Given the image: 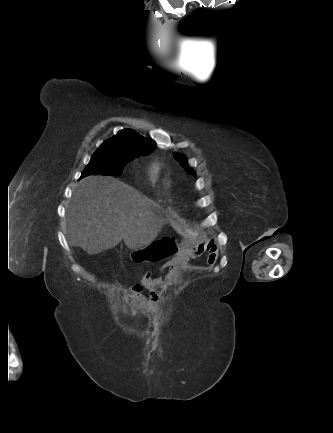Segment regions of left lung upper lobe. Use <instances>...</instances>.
Instances as JSON below:
<instances>
[{
	"label": "left lung upper lobe",
	"instance_id": "5c2ea615",
	"mask_svg": "<svg viewBox=\"0 0 333 433\" xmlns=\"http://www.w3.org/2000/svg\"><path fill=\"white\" fill-rule=\"evenodd\" d=\"M175 158L177 160H179L180 164L189 172V173H194L193 170L188 168V164L186 159H184V157L179 156L178 154L175 155Z\"/></svg>",
	"mask_w": 333,
	"mask_h": 433
}]
</instances>
